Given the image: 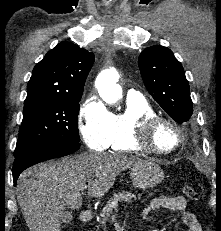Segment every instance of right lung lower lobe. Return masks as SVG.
<instances>
[{
	"label": "right lung lower lobe",
	"instance_id": "1",
	"mask_svg": "<svg viewBox=\"0 0 221 231\" xmlns=\"http://www.w3.org/2000/svg\"><path fill=\"white\" fill-rule=\"evenodd\" d=\"M79 146L73 144H42L35 146L15 157L13 165V181L16 185L20 173L26 168L54 158L63 157L74 153Z\"/></svg>",
	"mask_w": 221,
	"mask_h": 231
}]
</instances>
